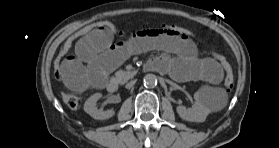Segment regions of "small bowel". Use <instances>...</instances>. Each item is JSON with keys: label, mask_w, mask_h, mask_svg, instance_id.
<instances>
[{"label": "small bowel", "mask_w": 279, "mask_h": 148, "mask_svg": "<svg viewBox=\"0 0 279 148\" xmlns=\"http://www.w3.org/2000/svg\"><path fill=\"white\" fill-rule=\"evenodd\" d=\"M150 50L161 54L149 61V67L170 73L178 81L203 80L218 84L222 80L221 65L201 57L192 41L155 28L140 30L118 42L106 30H94L82 36L75 45V54L63 60L60 78L75 91L100 88L108 74L124 61Z\"/></svg>", "instance_id": "c3829d8e"}]
</instances>
